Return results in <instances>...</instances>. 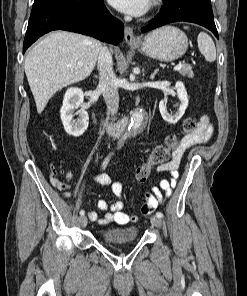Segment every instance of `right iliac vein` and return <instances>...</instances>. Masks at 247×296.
<instances>
[{
	"label": "right iliac vein",
	"mask_w": 247,
	"mask_h": 296,
	"mask_svg": "<svg viewBox=\"0 0 247 296\" xmlns=\"http://www.w3.org/2000/svg\"><path fill=\"white\" fill-rule=\"evenodd\" d=\"M79 221H80L82 227H85L87 225L88 220H87L86 216H82V217H80Z\"/></svg>",
	"instance_id": "1"
}]
</instances>
